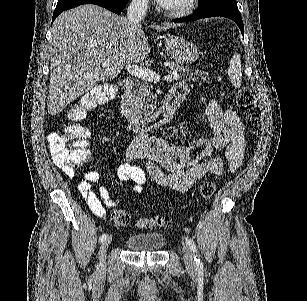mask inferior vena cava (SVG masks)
Returning a JSON list of instances; mask_svg holds the SVG:
<instances>
[{"mask_svg": "<svg viewBox=\"0 0 307 301\" xmlns=\"http://www.w3.org/2000/svg\"><path fill=\"white\" fill-rule=\"evenodd\" d=\"M148 4L149 0H131L127 10V18L130 26H137L140 20H143L147 12Z\"/></svg>", "mask_w": 307, "mask_h": 301, "instance_id": "inferior-vena-cava-1", "label": "inferior vena cava"}]
</instances>
